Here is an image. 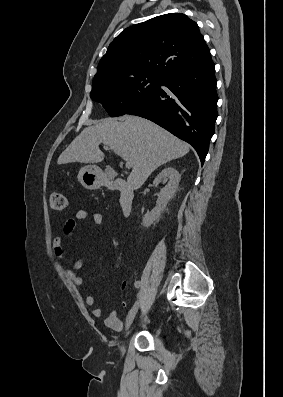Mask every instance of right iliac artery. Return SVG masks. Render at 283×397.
I'll list each match as a JSON object with an SVG mask.
<instances>
[{"label":"right iliac artery","instance_id":"82829eb1","mask_svg":"<svg viewBox=\"0 0 283 397\" xmlns=\"http://www.w3.org/2000/svg\"><path fill=\"white\" fill-rule=\"evenodd\" d=\"M139 286H140V284H139V283H136V284H135V287H136V288H138Z\"/></svg>","mask_w":283,"mask_h":397}]
</instances>
